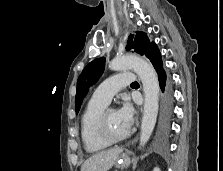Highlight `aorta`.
Wrapping results in <instances>:
<instances>
[{"label":"aorta","instance_id":"obj_1","mask_svg":"<svg viewBox=\"0 0 223 171\" xmlns=\"http://www.w3.org/2000/svg\"><path fill=\"white\" fill-rule=\"evenodd\" d=\"M113 71L132 69L139 76L144 90V110L141 123L140 145L149 140L158 115L159 109V82L157 73L150 62L137 56H122L114 58L109 65Z\"/></svg>","mask_w":223,"mask_h":171}]
</instances>
